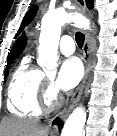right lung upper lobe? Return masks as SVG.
Wrapping results in <instances>:
<instances>
[{
  "label": "right lung upper lobe",
  "instance_id": "right-lung-upper-lobe-1",
  "mask_svg": "<svg viewBox=\"0 0 117 136\" xmlns=\"http://www.w3.org/2000/svg\"><path fill=\"white\" fill-rule=\"evenodd\" d=\"M26 44V38L23 35L22 37H20L16 43L14 44L9 56H8V60L10 59H15L24 49Z\"/></svg>",
  "mask_w": 117,
  "mask_h": 136
}]
</instances>
